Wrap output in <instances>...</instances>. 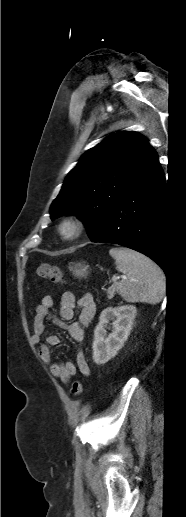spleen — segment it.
I'll return each mask as SVG.
<instances>
[{"label":"spleen","instance_id":"spleen-1","mask_svg":"<svg viewBox=\"0 0 186 517\" xmlns=\"http://www.w3.org/2000/svg\"><path fill=\"white\" fill-rule=\"evenodd\" d=\"M116 269L125 274L118 284L119 294L127 302L159 303L165 293L163 271L149 258L127 248H112Z\"/></svg>","mask_w":186,"mask_h":517}]
</instances>
